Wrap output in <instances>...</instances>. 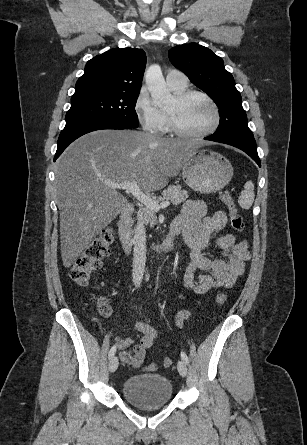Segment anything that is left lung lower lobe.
Here are the masks:
<instances>
[{"mask_svg":"<svg viewBox=\"0 0 307 445\" xmlns=\"http://www.w3.org/2000/svg\"><path fill=\"white\" fill-rule=\"evenodd\" d=\"M204 139L225 143L236 148L243 150L247 153L258 165L261 167V162L257 153V146L253 136H241V135H220V136H208Z\"/></svg>","mask_w":307,"mask_h":445,"instance_id":"obj_1","label":"left lung lower lobe"}]
</instances>
